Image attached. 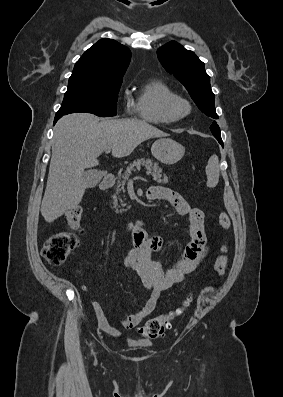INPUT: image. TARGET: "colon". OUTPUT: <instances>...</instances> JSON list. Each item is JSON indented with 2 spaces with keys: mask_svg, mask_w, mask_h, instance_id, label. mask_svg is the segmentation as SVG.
Returning a JSON list of instances; mask_svg holds the SVG:
<instances>
[{
  "mask_svg": "<svg viewBox=\"0 0 283 397\" xmlns=\"http://www.w3.org/2000/svg\"><path fill=\"white\" fill-rule=\"evenodd\" d=\"M82 220V210L79 207L70 209L65 216V221L69 230L62 231L51 236L42 248V256L53 265H61L65 262L70 253L78 243L77 232L80 230ZM218 222L223 230H228L231 225L229 215L221 211ZM227 246L223 244L214 264V276L220 278L227 268ZM195 300V294L188 295L182 303L167 314L148 320L140 329L141 336L147 339L161 337L165 330L170 328L172 320L182 316Z\"/></svg>",
  "mask_w": 283,
  "mask_h": 397,
  "instance_id": "obj_1",
  "label": "colon"
}]
</instances>
